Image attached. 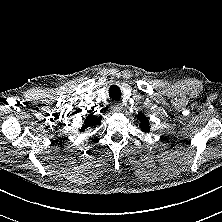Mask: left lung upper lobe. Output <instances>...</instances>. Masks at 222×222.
I'll list each match as a JSON object with an SVG mask.
<instances>
[{"label":"left lung upper lobe","mask_w":222,"mask_h":222,"mask_svg":"<svg viewBox=\"0 0 222 222\" xmlns=\"http://www.w3.org/2000/svg\"><path fill=\"white\" fill-rule=\"evenodd\" d=\"M137 119L139 120L140 124V128L144 131V132H149L150 131V125L148 122V118H146L145 115L139 113L137 115Z\"/></svg>","instance_id":"obj_1"}]
</instances>
